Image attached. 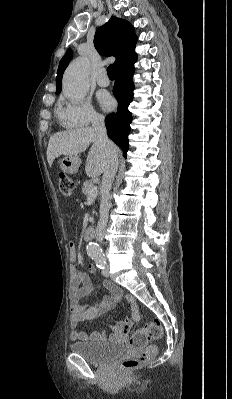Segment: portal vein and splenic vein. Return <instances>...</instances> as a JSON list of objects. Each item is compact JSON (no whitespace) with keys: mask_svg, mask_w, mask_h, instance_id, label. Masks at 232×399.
I'll return each instance as SVG.
<instances>
[{"mask_svg":"<svg viewBox=\"0 0 232 399\" xmlns=\"http://www.w3.org/2000/svg\"><path fill=\"white\" fill-rule=\"evenodd\" d=\"M97 192H98V188H97V186H94V188H92V190H90V192L88 194V198H95V196H97Z\"/></svg>","mask_w":232,"mask_h":399,"instance_id":"18ae733b","label":"portal vein and splenic vein"}]
</instances>
